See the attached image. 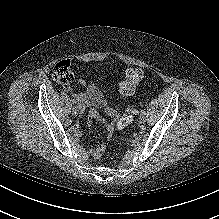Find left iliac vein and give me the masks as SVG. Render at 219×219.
Wrapping results in <instances>:
<instances>
[{
	"label": "left iliac vein",
	"mask_w": 219,
	"mask_h": 219,
	"mask_svg": "<svg viewBox=\"0 0 219 219\" xmlns=\"http://www.w3.org/2000/svg\"><path fill=\"white\" fill-rule=\"evenodd\" d=\"M146 122V113H140L139 124H144Z\"/></svg>",
	"instance_id": "left-iliac-vein-1"
}]
</instances>
